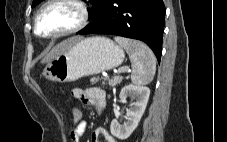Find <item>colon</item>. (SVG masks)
<instances>
[{
  "label": "colon",
  "instance_id": "colon-1",
  "mask_svg": "<svg viewBox=\"0 0 227 142\" xmlns=\"http://www.w3.org/2000/svg\"><path fill=\"white\" fill-rule=\"evenodd\" d=\"M71 116L74 127L80 126L85 121L82 112L76 107L71 108Z\"/></svg>",
  "mask_w": 227,
  "mask_h": 142
}]
</instances>
